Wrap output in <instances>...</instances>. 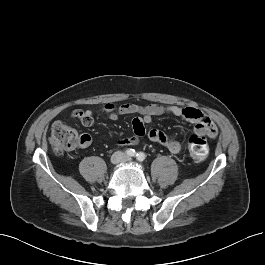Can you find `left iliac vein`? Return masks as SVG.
Returning <instances> with one entry per match:
<instances>
[{
	"instance_id": "obj_1",
	"label": "left iliac vein",
	"mask_w": 265,
	"mask_h": 265,
	"mask_svg": "<svg viewBox=\"0 0 265 265\" xmlns=\"http://www.w3.org/2000/svg\"><path fill=\"white\" fill-rule=\"evenodd\" d=\"M123 161H124V162H130V161H131V158L128 157V156H124V157H123Z\"/></svg>"
}]
</instances>
